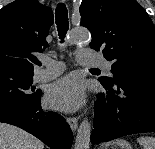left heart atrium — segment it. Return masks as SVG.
Masks as SVG:
<instances>
[{
  "instance_id": "left-heart-atrium-1",
  "label": "left heart atrium",
  "mask_w": 155,
  "mask_h": 149,
  "mask_svg": "<svg viewBox=\"0 0 155 149\" xmlns=\"http://www.w3.org/2000/svg\"><path fill=\"white\" fill-rule=\"evenodd\" d=\"M46 101L51 108L62 111H73L84 101V87L80 78L75 75L65 76L50 86Z\"/></svg>"
}]
</instances>
